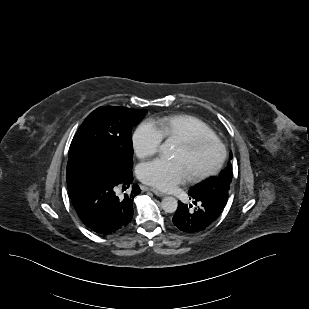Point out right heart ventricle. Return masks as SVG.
Masks as SVG:
<instances>
[{
    "instance_id": "1",
    "label": "right heart ventricle",
    "mask_w": 309,
    "mask_h": 309,
    "mask_svg": "<svg viewBox=\"0 0 309 309\" xmlns=\"http://www.w3.org/2000/svg\"><path fill=\"white\" fill-rule=\"evenodd\" d=\"M163 137L183 140L194 136H215L214 131L201 119L187 114L164 117L156 121Z\"/></svg>"
}]
</instances>
